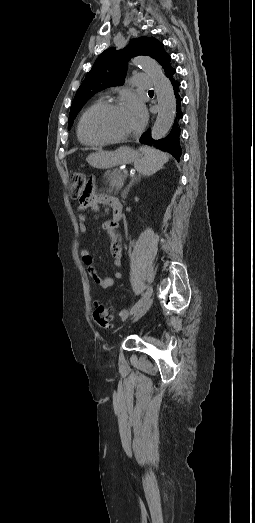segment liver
I'll return each instance as SVG.
<instances>
[{
  "instance_id": "liver-1",
  "label": "liver",
  "mask_w": 255,
  "mask_h": 523,
  "mask_svg": "<svg viewBox=\"0 0 255 523\" xmlns=\"http://www.w3.org/2000/svg\"><path fill=\"white\" fill-rule=\"evenodd\" d=\"M112 154L113 152H97V154H90L86 160L90 166L98 168L100 162H102L103 156H106V158H112Z\"/></svg>"
}]
</instances>
